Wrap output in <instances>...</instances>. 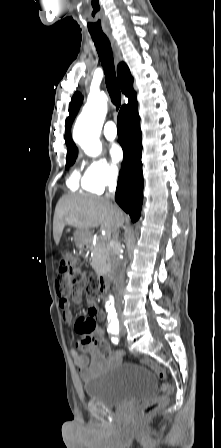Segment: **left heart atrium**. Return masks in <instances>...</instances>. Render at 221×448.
I'll return each instance as SVG.
<instances>
[{
  "label": "left heart atrium",
  "mask_w": 221,
  "mask_h": 448,
  "mask_svg": "<svg viewBox=\"0 0 221 448\" xmlns=\"http://www.w3.org/2000/svg\"><path fill=\"white\" fill-rule=\"evenodd\" d=\"M109 154L110 157L112 159V161L114 163H119L122 158H123V149L120 145L118 144H113L110 148H109Z\"/></svg>",
  "instance_id": "1"
}]
</instances>
